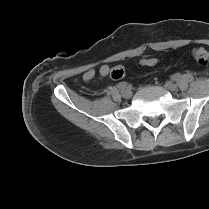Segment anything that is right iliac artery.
<instances>
[{"label": "right iliac artery", "instance_id": "82829eb1", "mask_svg": "<svg viewBox=\"0 0 209 209\" xmlns=\"http://www.w3.org/2000/svg\"><path fill=\"white\" fill-rule=\"evenodd\" d=\"M117 86H118L119 89H125L127 87V83L126 82H121Z\"/></svg>", "mask_w": 209, "mask_h": 209}]
</instances>
